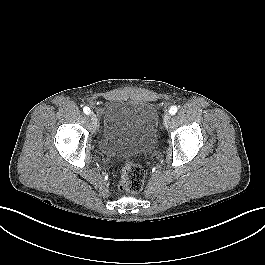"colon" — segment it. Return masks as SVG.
Wrapping results in <instances>:
<instances>
[{
    "instance_id": "colon-1",
    "label": "colon",
    "mask_w": 265,
    "mask_h": 265,
    "mask_svg": "<svg viewBox=\"0 0 265 265\" xmlns=\"http://www.w3.org/2000/svg\"><path fill=\"white\" fill-rule=\"evenodd\" d=\"M144 179V169L135 162L127 161L122 165L118 186L123 192L137 193L142 189Z\"/></svg>"
}]
</instances>
